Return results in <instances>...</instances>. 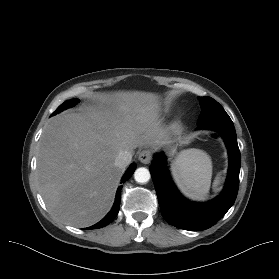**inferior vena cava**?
Masks as SVG:
<instances>
[{"instance_id":"obj_1","label":"inferior vena cava","mask_w":279,"mask_h":279,"mask_svg":"<svg viewBox=\"0 0 279 279\" xmlns=\"http://www.w3.org/2000/svg\"><path fill=\"white\" fill-rule=\"evenodd\" d=\"M132 160V153L128 151H121L116 159H115V166L121 169H124L131 163Z\"/></svg>"}]
</instances>
